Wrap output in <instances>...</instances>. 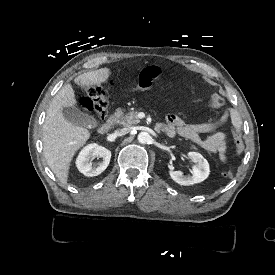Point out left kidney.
I'll list each match as a JSON object with an SVG mask.
<instances>
[{"instance_id":"obj_1","label":"left kidney","mask_w":275,"mask_h":275,"mask_svg":"<svg viewBox=\"0 0 275 275\" xmlns=\"http://www.w3.org/2000/svg\"><path fill=\"white\" fill-rule=\"evenodd\" d=\"M189 158L196 163L193 166L192 176H184L181 171H170L171 178L180 185H193L204 181L210 173L208 161L198 152H189Z\"/></svg>"}]
</instances>
